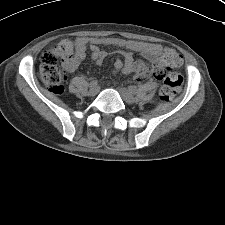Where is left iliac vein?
<instances>
[{"instance_id": "4c4485c4", "label": "left iliac vein", "mask_w": 225, "mask_h": 225, "mask_svg": "<svg viewBox=\"0 0 225 225\" xmlns=\"http://www.w3.org/2000/svg\"><path fill=\"white\" fill-rule=\"evenodd\" d=\"M120 92H121V96H122L123 100L126 103L133 104L135 102V98L133 97V95L131 94V92L128 89L121 88Z\"/></svg>"}]
</instances>
